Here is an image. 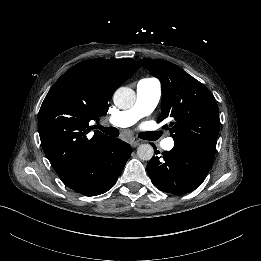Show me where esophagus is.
Returning a JSON list of instances; mask_svg holds the SVG:
<instances>
[{
	"label": "esophagus",
	"instance_id": "obj_1",
	"mask_svg": "<svg viewBox=\"0 0 261 261\" xmlns=\"http://www.w3.org/2000/svg\"><path fill=\"white\" fill-rule=\"evenodd\" d=\"M139 144H140V141H139V140H132V141L130 142V145H131L133 148L139 146Z\"/></svg>",
	"mask_w": 261,
	"mask_h": 261
}]
</instances>
